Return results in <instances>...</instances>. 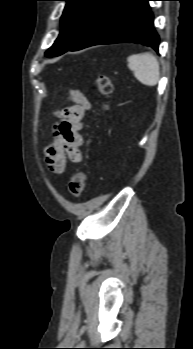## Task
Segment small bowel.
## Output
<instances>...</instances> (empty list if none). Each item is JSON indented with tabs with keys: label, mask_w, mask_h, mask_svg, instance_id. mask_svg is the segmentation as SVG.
Instances as JSON below:
<instances>
[{
	"label": "small bowel",
	"mask_w": 193,
	"mask_h": 349,
	"mask_svg": "<svg viewBox=\"0 0 193 349\" xmlns=\"http://www.w3.org/2000/svg\"><path fill=\"white\" fill-rule=\"evenodd\" d=\"M73 103L59 113L60 121L52 128V142L45 148V161L49 170L62 174L67 160L83 161L81 147L84 144L80 130L84 126L90 102L79 91L71 92Z\"/></svg>",
	"instance_id": "small-bowel-1"
}]
</instances>
